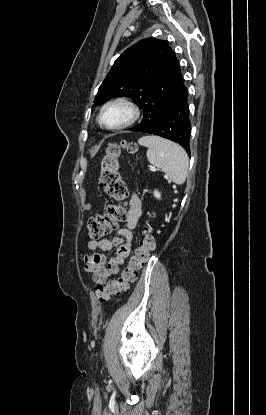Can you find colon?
<instances>
[{
	"label": "colon",
	"instance_id": "5ec220e1",
	"mask_svg": "<svg viewBox=\"0 0 266 415\" xmlns=\"http://www.w3.org/2000/svg\"><path fill=\"white\" fill-rule=\"evenodd\" d=\"M122 149L129 153H136L137 146L132 142L110 143L100 162L99 184L104 191L116 202L108 206L106 213L91 217L88 220V235L98 240L112 232L117 223L127 217L121 202L127 197V188L119 173V160ZM155 248V239L149 228L142 231L138 246L134 250L128 265L120 276L110 280L106 285L96 289V296L100 302H107L111 297L127 291L133 283L139 270L149 259Z\"/></svg>",
	"mask_w": 266,
	"mask_h": 415
}]
</instances>
